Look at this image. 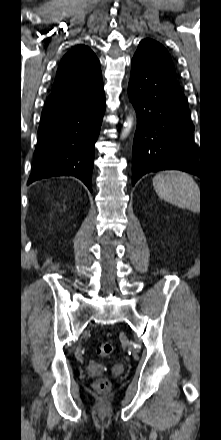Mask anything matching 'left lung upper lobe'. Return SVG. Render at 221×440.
<instances>
[{
	"label": "left lung upper lobe",
	"instance_id": "5c2ea615",
	"mask_svg": "<svg viewBox=\"0 0 221 440\" xmlns=\"http://www.w3.org/2000/svg\"><path fill=\"white\" fill-rule=\"evenodd\" d=\"M137 51L143 53L144 56L158 68L176 76L170 55L160 43L152 39H144L140 42Z\"/></svg>",
	"mask_w": 221,
	"mask_h": 440
}]
</instances>
